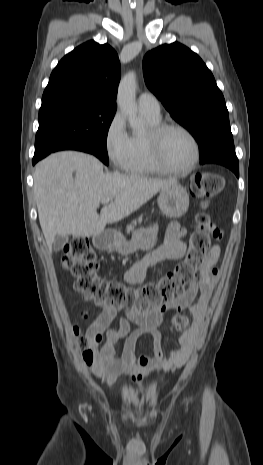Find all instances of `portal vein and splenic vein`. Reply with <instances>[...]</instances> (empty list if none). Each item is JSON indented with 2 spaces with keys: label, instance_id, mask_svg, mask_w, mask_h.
Here are the masks:
<instances>
[{
  "label": "portal vein and splenic vein",
  "instance_id": "18ae733b",
  "mask_svg": "<svg viewBox=\"0 0 263 465\" xmlns=\"http://www.w3.org/2000/svg\"><path fill=\"white\" fill-rule=\"evenodd\" d=\"M110 201H112L111 198H104V199L101 200V203L104 204V205H106V204H108Z\"/></svg>",
  "mask_w": 263,
  "mask_h": 465
}]
</instances>
